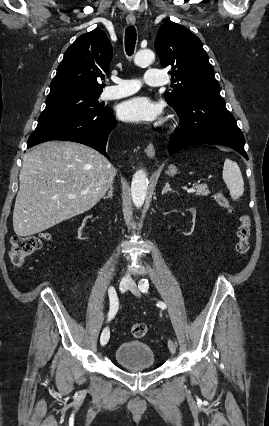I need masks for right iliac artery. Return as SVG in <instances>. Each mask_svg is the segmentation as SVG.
Masks as SVG:
<instances>
[{
    "mask_svg": "<svg viewBox=\"0 0 269 426\" xmlns=\"http://www.w3.org/2000/svg\"><path fill=\"white\" fill-rule=\"evenodd\" d=\"M109 299H110V310L108 313V320L112 319L119 309V301L117 293L114 287H110L108 290Z\"/></svg>",
    "mask_w": 269,
    "mask_h": 426,
    "instance_id": "obj_1",
    "label": "right iliac artery"
}]
</instances>
